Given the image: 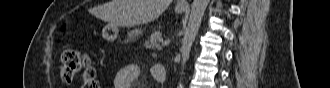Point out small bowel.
Segmentation results:
<instances>
[{
	"label": "small bowel",
	"instance_id": "1",
	"mask_svg": "<svg viewBox=\"0 0 330 88\" xmlns=\"http://www.w3.org/2000/svg\"><path fill=\"white\" fill-rule=\"evenodd\" d=\"M141 73L140 67L136 65H130L119 70L114 78V87L131 88L134 83L139 81ZM151 75L157 82H162L166 77V69L161 64H155L151 67Z\"/></svg>",
	"mask_w": 330,
	"mask_h": 88
}]
</instances>
